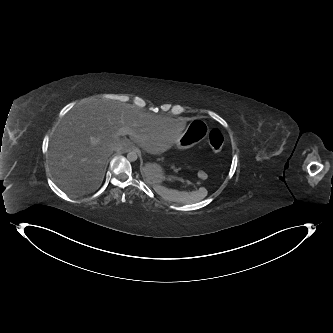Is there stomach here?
<instances>
[{"label": "stomach", "instance_id": "stomach-1", "mask_svg": "<svg viewBox=\"0 0 333 333\" xmlns=\"http://www.w3.org/2000/svg\"><path fill=\"white\" fill-rule=\"evenodd\" d=\"M208 125L202 120H195L190 123L189 128L178 137L174 144L177 148L187 149L196 145L199 140L205 138L208 134ZM143 177L151 184L157 185L164 181L166 173L164 168L155 162L148 163L142 171Z\"/></svg>", "mask_w": 333, "mask_h": 333}]
</instances>
